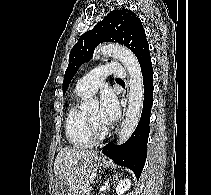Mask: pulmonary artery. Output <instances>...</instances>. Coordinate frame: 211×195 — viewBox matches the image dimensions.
<instances>
[{
	"label": "pulmonary artery",
	"instance_id": "pulmonary-artery-1",
	"mask_svg": "<svg viewBox=\"0 0 211 195\" xmlns=\"http://www.w3.org/2000/svg\"><path fill=\"white\" fill-rule=\"evenodd\" d=\"M111 74L123 78L125 77V69L119 63L99 66L77 82L75 92L80 95H91L99 89Z\"/></svg>",
	"mask_w": 211,
	"mask_h": 195
}]
</instances>
